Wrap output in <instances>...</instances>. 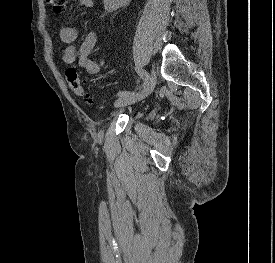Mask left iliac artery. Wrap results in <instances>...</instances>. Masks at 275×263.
<instances>
[{
	"label": "left iliac artery",
	"instance_id": "obj_1",
	"mask_svg": "<svg viewBox=\"0 0 275 263\" xmlns=\"http://www.w3.org/2000/svg\"><path fill=\"white\" fill-rule=\"evenodd\" d=\"M136 71L139 74V76L143 79V85H145L149 79V74L145 70L140 69V68H136ZM127 93H130V91H120L117 95L123 96Z\"/></svg>",
	"mask_w": 275,
	"mask_h": 263
}]
</instances>
